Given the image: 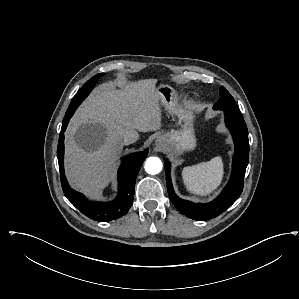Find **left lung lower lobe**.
<instances>
[{
  "instance_id": "0a47b994",
  "label": "left lung lower lobe",
  "mask_w": 299,
  "mask_h": 299,
  "mask_svg": "<svg viewBox=\"0 0 299 299\" xmlns=\"http://www.w3.org/2000/svg\"><path fill=\"white\" fill-rule=\"evenodd\" d=\"M224 113L226 126L231 131L234 139L235 153L230 181L215 200L206 204H195L180 199L174 193L172 187L170 163L167 162L165 164L166 182L170 200L183 215L194 220L206 221L219 216L236 201L243 190L245 171L249 161L248 130L241 114H235L228 110H224Z\"/></svg>"
}]
</instances>
